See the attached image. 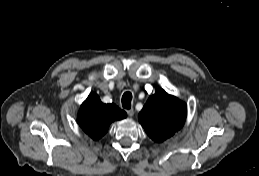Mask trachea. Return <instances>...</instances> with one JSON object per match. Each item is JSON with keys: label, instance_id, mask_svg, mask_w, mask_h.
<instances>
[{"label": "trachea", "instance_id": "obj_1", "mask_svg": "<svg viewBox=\"0 0 259 176\" xmlns=\"http://www.w3.org/2000/svg\"><path fill=\"white\" fill-rule=\"evenodd\" d=\"M132 94L131 92H125L122 96V106L125 109L131 108Z\"/></svg>", "mask_w": 259, "mask_h": 176}]
</instances>
